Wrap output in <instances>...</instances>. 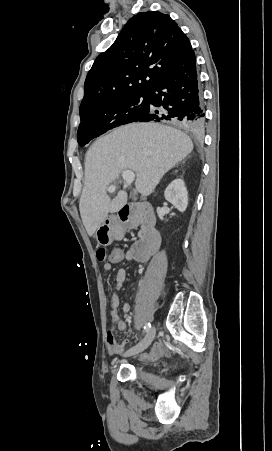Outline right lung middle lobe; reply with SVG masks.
Here are the masks:
<instances>
[{"label":"right lung middle lobe","mask_w":272,"mask_h":451,"mask_svg":"<svg viewBox=\"0 0 272 451\" xmlns=\"http://www.w3.org/2000/svg\"><path fill=\"white\" fill-rule=\"evenodd\" d=\"M149 95L138 94L113 99L80 113L77 140L84 146L90 140L117 126L136 122L149 110Z\"/></svg>","instance_id":"right-lung-middle-lobe-1"}]
</instances>
